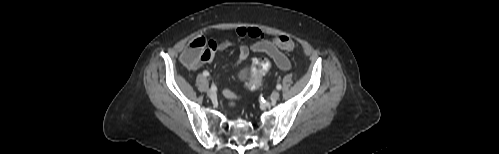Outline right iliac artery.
Wrapping results in <instances>:
<instances>
[{
	"mask_svg": "<svg viewBox=\"0 0 499 154\" xmlns=\"http://www.w3.org/2000/svg\"><path fill=\"white\" fill-rule=\"evenodd\" d=\"M203 75H204L205 77H207V76H209V72H208V71H204V72H203ZM211 90L215 91V90H216V86H215V85H212V86H211Z\"/></svg>",
	"mask_w": 499,
	"mask_h": 154,
	"instance_id": "obj_1",
	"label": "right iliac artery"
}]
</instances>
